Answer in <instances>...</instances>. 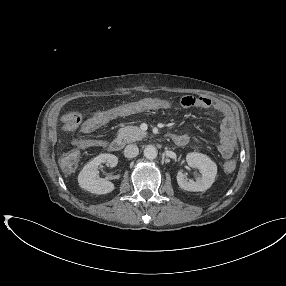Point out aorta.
Returning a JSON list of instances; mask_svg holds the SVG:
<instances>
[{"label": "aorta", "instance_id": "1", "mask_svg": "<svg viewBox=\"0 0 286 286\" xmlns=\"http://www.w3.org/2000/svg\"><path fill=\"white\" fill-rule=\"evenodd\" d=\"M158 151L155 146L147 145L144 149V156L149 159L153 160L157 157Z\"/></svg>", "mask_w": 286, "mask_h": 286}]
</instances>
